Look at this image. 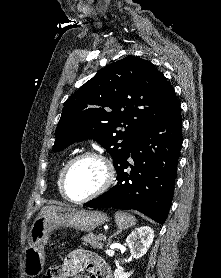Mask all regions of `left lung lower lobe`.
<instances>
[{
    "instance_id": "1",
    "label": "left lung lower lobe",
    "mask_w": 221,
    "mask_h": 278,
    "mask_svg": "<svg viewBox=\"0 0 221 278\" xmlns=\"http://www.w3.org/2000/svg\"><path fill=\"white\" fill-rule=\"evenodd\" d=\"M182 117L178 100L142 133L115 166L117 183L84 205L93 208L134 209L158 223L169 213L177 162L182 145ZM132 157L133 163L127 161Z\"/></svg>"
}]
</instances>
